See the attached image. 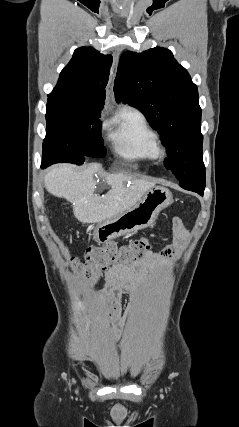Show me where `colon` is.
I'll return each instance as SVG.
<instances>
[{"instance_id": "5ec220e1", "label": "colon", "mask_w": 239, "mask_h": 427, "mask_svg": "<svg viewBox=\"0 0 239 427\" xmlns=\"http://www.w3.org/2000/svg\"><path fill=\"white\" fill-rule=\"evenodd\" d=\"M152 245L146 237L135 239L126 245L108 243L91 247L85 254V261L72 260V267L92 282H97L103 270L115 265H129L144 258L151 252Z\"/></svg>"}]
</instances>
